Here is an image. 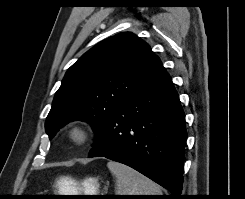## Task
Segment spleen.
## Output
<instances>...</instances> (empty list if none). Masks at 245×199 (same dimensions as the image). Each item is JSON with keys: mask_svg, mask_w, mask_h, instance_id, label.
Wrapping results in <instances>:
<instances>
[{"mask_svg": "<svg viewBox=\"0 0 245 199\" xmlns=\"http://www.w3.org/2000/svg\"><path fill=\"white\" fill-rule=\"evenodd\" d=\"M107 167L116 179V195H162L157 184L136 170L114 161Z\"/></svg>", "mask_w": 245, "mask_h": 199, "instance_id": "3e777b00", "label": "spleen"}]
</instances>
